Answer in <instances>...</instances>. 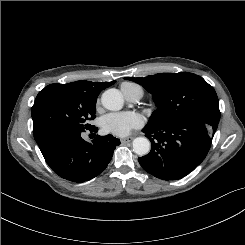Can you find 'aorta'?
Instances as JSON below:
<instances>
[{"instance_id":"aorta-1","label":"aorta","mask_w":245,"mask_h":245,"mask_svg":"<svg viewBox=\"0 0 245 245\" xmlns=\"http://www.w3.org/2000/svg\"><path fill=\"white\" fill-rule=\"evenodd\" d=\"M102 105L111 111H118L123 107V97L119 90L111 88L106 90L101 97ZM133 151L140 155H146L150 151V141L145 137H137L133 140Z\"/></svg>"}]
</instances>
